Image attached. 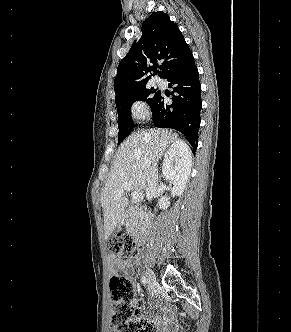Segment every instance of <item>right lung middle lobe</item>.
Returning a JSON list of instances; mask_svg holds the SVG:
<instances>
[{
	"instance_id": "1",
	"label": "right lung middle lobe",
	"mask_w": 291,
	"mask_h": 332,
	"mask_svg": "<svg viewBox=\"0 0 291 332\" xmlns=\"http://www.w3.org/2000/svg\"><path fill=\"white\" fill-rule=\"evenodd\" d=\"M159 93L158 89L142 87L115 100L118 111V143H121L133 129L134 125L130 119L132 103L142 100L146 101L152 107Z\"/></svg>"
}]
</instances>
